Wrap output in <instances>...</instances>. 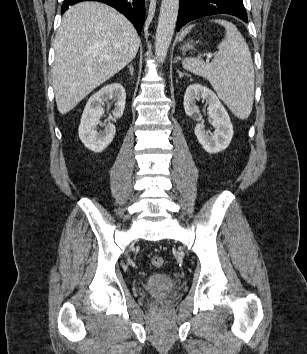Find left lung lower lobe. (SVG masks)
Returning <instances> with one entry per match:
<instances>
[{"mask_svg":"<svg viewBox=\"0 0 307 354\" xmlns=\"http://www.w3.org/2000/svg\"><path fill=\"white\" fill-rule=\"evenodd\" d=\"M215 14H230L248 21L243 0H180L177 30L191 20Z\"/></svg>","mask_w":307,"mask_h":354,"instance_id":"left-lung-lower-lobe-1","label":"left lung lower lobe"}]
</instances>
